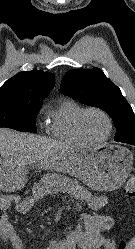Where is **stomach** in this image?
Returning a JSON list of instances; mask_svg holds the SVG:
<instances>
[{"label":"stomach","mask_w":135,"mask_h":249,"mask_svg":"<svg viewBox=\"0 0 135 249\" xmlns=\"http://www.w3.org/2000/svg\"><path fill=\"white\" fill-rule=\"evenodd\" d=\"M133 153L120 145L103 144L87 149H72L63 155L49 158L38 164V168L54 170L48 174L45 189L57 187L62 178L60 173L82 180L91 189L113 191L120 188L132 170ZM3 179L12 189L21 188L27 181L25 168H4Z\"/></svg>","instance_id":"1"}]
</instances>
